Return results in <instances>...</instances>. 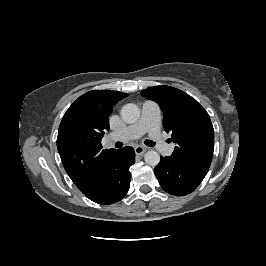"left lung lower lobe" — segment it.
Returning <instances> with one entry per match:
<instances>
[{
	"instance_id": "1",
	"label": "left lung lower lobe",
	"mask_w": 266,
	"mask_h": 266,
	"mask_svg": "<svg viewBox=\"0 0 266 266\" xmlns=\"http://www.w3.org/2000/svg\"><path fill=\"white\" fill-rule=\"evenodd\" d=\"M210 165L181 163L172 156L161 157L155 175L169 194L183 196L193 192L206 176Z\"/></svg>"
}]
</instances>
